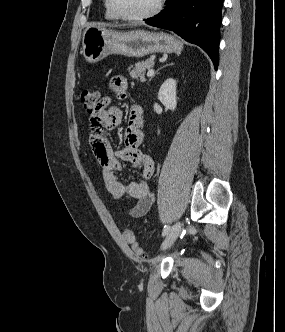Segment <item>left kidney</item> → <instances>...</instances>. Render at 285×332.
I'll return each instance as SVG.
<instances>
[{
    "instance_id": "1",
    "label": "left kidney",
    "mask_w": 285,
    "mask_h": 332,
    "mask_svg": "<svg viewBox=\"0 0 285 332\" xmlns=\"http://www.w3.org/2000/svg\"><path fill=\"white\" fill-rule=\"evenodd\" d=\"M176 85V80L169 78L164 81L158 92V99L170 110H174L177 106Z\"/></svg>"
}]
</instances>
